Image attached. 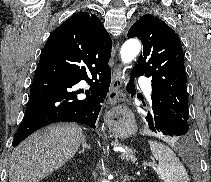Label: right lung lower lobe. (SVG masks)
Returning a JSON list of instances; mask_svg holds the SVG:
<instances>
[{
	"label": "right lung lower lobe",
	"instance_id": "98d812e1",
	"mask_svg": "<svg viewBox=\"0 0 211 182\" xmlns=\"http://www.w3.org/2000/svg\"><path fill=\"white\" fill-rule=\"evenodd\" d=\"M110 57L94 47H83L71 35L69 27H58L46 42L33 79L24 120L18 128L13 146L36 130L58 121H71L96 128L102 103L109 92ZM88 82L87 96L74 86Z\"/></svg>",
	"mask_w": 211,
	"mask_h": 182
}]
</instances>
